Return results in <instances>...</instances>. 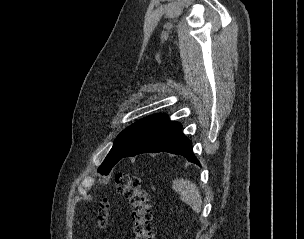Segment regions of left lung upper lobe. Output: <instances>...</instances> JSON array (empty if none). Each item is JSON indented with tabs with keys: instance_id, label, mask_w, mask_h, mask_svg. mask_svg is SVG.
I'll list each match as a JSON object with an SVG mask.
<instances>
[{
	"instance_id": "5c2ea615",
	"label": "left lung upper lobe",
	"mask_w": 304,
	"mask_h": 239,
	"mask_svg": "<svg viewBox=\"0 0 304 239\" xmlns=\"http://www.w3.org/2000/svg\"><path fill=\"white\" fill-rule=\"evenodd\" d=\"M170 122L168 115L155 114L145 117L122 131L116 138L112 149L98 169L103 175H108L114 165L136 144L152 134L161 126Z\"/></svg>"
}]
</instances>
